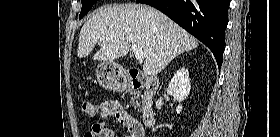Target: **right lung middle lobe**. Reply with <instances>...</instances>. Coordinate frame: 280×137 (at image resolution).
I'll list each match as a JSON object with an SVG mask.
<instances>
[{
	"mask_svg": "<svg viewBox=\"0 0 280 137\" xmlns=\"http://www.w3.org/2000/svg\"><path fill=\"white\" fill-rule=\"evenodd\" d=\"M98 0H82V9L79 19L83 18Z\"/></svg>",
	"mask_w": 280,
	"mask_h": 137,
	"instance_id": "dd1d6c3e",
	"label": "right lung middle lobe"
}]
</instances>
